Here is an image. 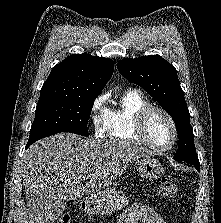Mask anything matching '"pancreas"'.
Listing matches in <instances>:
<instances>
[{
  "label": "pancreas",
  "instance_id": "cf45deb5",
  "mask_svg": "<svg viewBox=\"0 0 221 223\" xmlns=\"http://www.w3.org/2000/svg\"><path fill=\"white\" fill-rule=\"evenodd\" d=\"M129 204V200L124 196L123 192H114V196L111 197L105 204L104 210L101 211V215L111 214L115 211L121 210Z\"/></svg>",
  "mask_w": 221,
  "mask_h": 223
}]
</instances>
